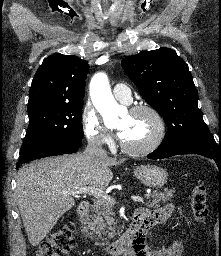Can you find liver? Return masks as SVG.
I'll use <instances>...</instances> for the list:
<instances>
[{"label": "liver", "instance_id": "6515ba94", "mask_svg": "<svg viewBox=\"0 0 221 256\" xmlns=\"http://www.w3.org/2000/svg\"><path fill=\"white\" fill-rule=\"evenodd\" d=\"M124 161L94 160L84 153L49 157L24 165L16 176L15 199L32 246H37L60 217L75 205L69 191L85 186L105 188L109 166Z\"/></svg>", "mask_w": 221, "mask_h": 256}]
</instances>
